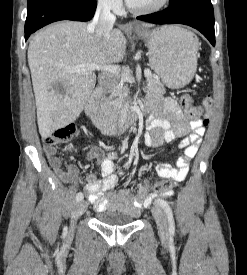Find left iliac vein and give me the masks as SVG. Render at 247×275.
<instances>
[{
  "mask_svg": "<svg viewBox=\"0 0 247 275\" xmlns=\"http://www.w3.org/2000/svg\"><path fill=\"white\" fill-rule=\"evenodd\" d=\"M152 215L156 221L160 237L162 239H167L168 238V223H167V217H166L164 211L158 205H155L152 208Z\"/></svg>",
  "mask_w": 247,
  "mask_h": 275,
  "instance_id": "4c4485c4",
  "label": "left iliac vein"
}]
</instances>
